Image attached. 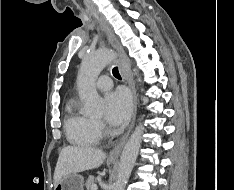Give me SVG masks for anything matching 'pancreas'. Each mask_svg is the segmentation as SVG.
Segmentation results:
<instances>
[{"label":"pancreas","mask_w":234,"mask_h":190,"mask_svg":"<svg viewBox=\"0 0 234 190\" xmlns=\"http://www.w3.org/2000/svg\"><path fill=\"white\" fill-rule=\"evenodd\" d=\"M94 176L90 175L85 183L86 190H91L92 186L94 185Z\"/></svg>","instance_id":"pancreas-1"}]
</instances>
